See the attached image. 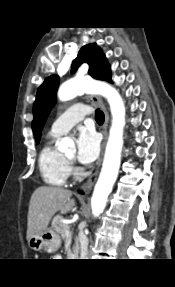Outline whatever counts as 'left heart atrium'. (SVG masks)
Wrapping results in <instances>:
<instances>
[{"label":"left heart atrium","mask_w":175,"mask_h":287,"mask_svg":"<svg viewBox=\"0 0 175 287\" xmlns=\"http://www.w3.org/2000/svg\"><path fill=\"white\" fill-rule=\"evenodd\" d=\"M77 158L81 164L89 165L99 155L100 141L92 129H82L77 138Z\"/></svg>","instance_id":"obj_1"}]
</instances>
